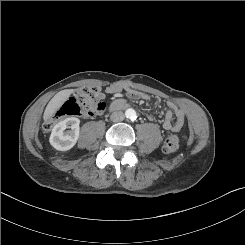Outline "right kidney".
Returning a JSON list of instances; mask_svg holds the SVG:
<instances>
[{
	"label": "right kidney",
	"instance_id": "obj_1",
	"mask_svg": "<svg viewBox=\"0 0 245 245\" xmlns=\"http://www.w3.org/2000/svg\"><path fill=\"white\" fill-rule=\"evenodd\" d=\"M80 120L76 117H69L57 123L50 135V144L59 151H67L73 148L79 138ZM65 131L66 129H68Z\"/></svg>",
	"mask_w": 245,
	"mask_h": 245
}]
</instances>
